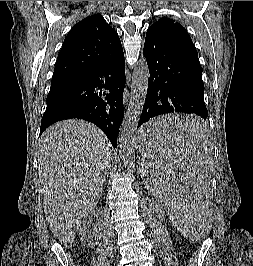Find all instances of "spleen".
I'll list each match as a JSON object with an SVG mask.
<instances>
[{"label":"spleen","mask_w":253,"mask_h":266,"mask_svg":"<svg viewBox=\"0 0 253 266\" xmlns=\"http://www.w3.org/2000/svg\"><path fill=\"white\" fill-rule=\"evenodd\" d=\"M198 111H166L143 124L139 169L153 199L172 215L174 229L198 242L212 235L211 207L213 142L206 141V123Z\"/></svg>","instance_id":"spleen-1"}]
</instances>
